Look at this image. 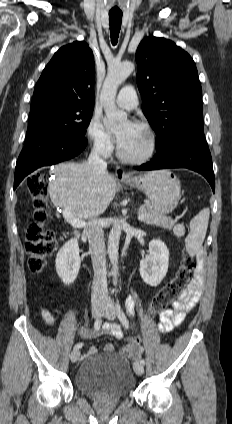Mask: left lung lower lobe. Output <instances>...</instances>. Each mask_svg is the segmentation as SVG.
Here are the masks:
<instances>
[{"instance_id":"1","label":"left lung lower lobe","mask_w":232,"mask_h":424,"mask_svg":"<svg viewBox=\"0 0 232 424\" xmlns=\"http://www.w3.org/2000/svg\"><path fill=\"white\" fill-rule=\"evenodd\" d=\"M153 160L137 170H157L166 168H188L202 174L215 191V178L212 158L203 131L202 122L178 128L159 147Z\"/></svg>"}]
</instances>
